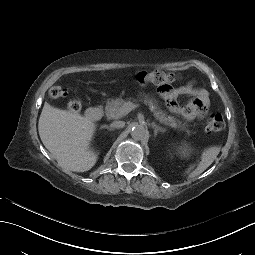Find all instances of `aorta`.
<instances>
[{
	"instance_id": "1",
	"label": "aorta",
	"mask_w": 255,
	"mask_h": 255,
	"mask_svg": "<svg viewBox=\"0 0 255 255\" xmlns=\"http://www.w3.org/2000/svg\"><path fill=\"white\" fill-rule=\"evenodd\" d=\"M130 133H131V136H132L133 139L142 140L146 136L147 130L143 125L135 124L132 127V130H131Z\"/></svg>"
}]
</instances>
